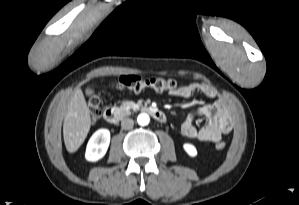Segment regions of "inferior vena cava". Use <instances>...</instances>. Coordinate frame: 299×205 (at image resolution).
Here are the masks:
<instances>
[{
  "mask_svg": "<svg viewBox=\"0 0 299 205\" xmlns=\"http://www.w3.org/2000/svg\"><path fill=\"white\" fill-rule=\"evenodd\" d=\"M133 125H134V121H133V119H131V118H124V119L121 121V127H122V129H124V130L132 129V128H133Z\"/></svg>",
  "mask_w": 299,
  "mask_h": 205,
  "instance_id": "602c4592",
  "label": "inferior vena cava"
}]
</instances>
